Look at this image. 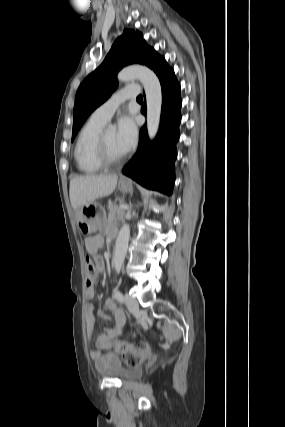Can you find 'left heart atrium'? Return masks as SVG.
Returning a JSON list of instances; mask_svg holds the SVG:
<instances>
[{"label": "left heart atrium", "mask_w": 285, "mask_h": 427, "mask_svg": "<svg viewBox=\"0 0 285 427\" xmlns=\"http://www.w3.org/2000/svg\"><path fill=\"white\" fill-rule=\"evenodd\" d=\"M116 139L120 148L129 152L137 141V128L133 119L129 116H122L118 121Z\"/></svg>", "instance_id": "left-heart-atrium-1"}]
</instances>
